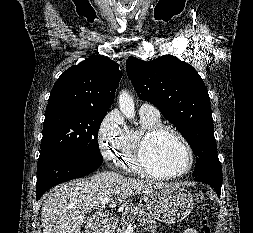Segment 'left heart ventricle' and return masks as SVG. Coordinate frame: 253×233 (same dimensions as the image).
Segmentation results:
<instances>
[{"mask_svg": "<svg viewBox=\"0 0 253 233\" xmlns=\"http://www.w3.org/2000/svg\"><path fill=\"white\" fill-rule=\"evenodd\" d=\"M148 167L160 174L182 172L188 165V153L185 146L171 134L158 136L146 152Z\"/></svg>", "mask_w": 253, "mask_h": 233, "instance_id": "b2bd125f", "label": "left heart ventricle"}]
</instances>
